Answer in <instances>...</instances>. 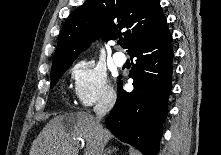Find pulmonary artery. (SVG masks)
<instances>
[{
    "label": "pulmonary artery",
    "instance_id": "e3ab8cb5",
    "mask_svg": "<svg viewBox=\"0 0 221 155\" xmlns=\"http://www.w3.org/2000/svg\"><path fill=\"white\" fill-rule=\"evenodd\" d=\"M113 60L117 66L121 67L126 63V56L124 53L118 51L113 55Z\"/></svg>",
    "mask_w": 221,
    "mask_h": 155
}]
</instances>
